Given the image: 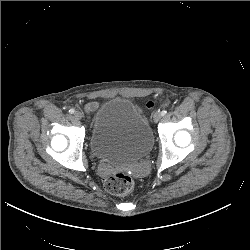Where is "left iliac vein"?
<instances>
[{
  "instance_id": "1",
  "label": "left iliac vein",
  "mask_w": 250,
  "mask_h": 250,
  "mask_svg": "<svg viewBox=\"0 0 250 250\" xmlns=\"http://www.w3.org/2000/svg\"><path fill=\"white\" fill-rule=\"evenodd\" d=\"M161 117H162L161 113L159 111H156L153 115V120L155 122H158L161 119Z\"/></svg>"
}]
</instances>
